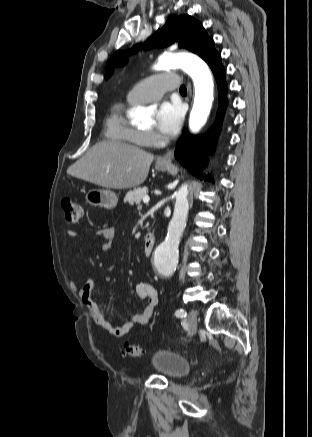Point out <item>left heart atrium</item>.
Wrapping results in <instances>:
<instances>
[{
	"label": "left heart atrium",
	"mask_w": 312,
	"mask_h": 437,
	"mask_svg": "<svg viewBox=\"0 0 312 437\" xmlns=\"http://www.w3.org/2000/svg\"><path fill=\"white\" fill-rule=\"evenodd\" d=\"M183 120V109L179 103L163 102L156 111L157 129L166 136L175 135Z\"/></svg>",
	"instance_id": "left-heart-atrium-1"
}]
</instances>
